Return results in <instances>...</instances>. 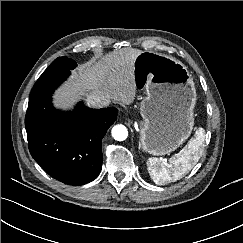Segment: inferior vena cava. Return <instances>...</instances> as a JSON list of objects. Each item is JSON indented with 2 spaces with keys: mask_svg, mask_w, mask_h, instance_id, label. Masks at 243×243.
<instances>
[{
  "mask_svg": "<svg viewBox=\"0 0 243 243\" xmlns=\"http://www.w3.org/2000/svg\"><path fill=\"white\" fill-rule=\"evenodd\" d=\"M86 101L94 108H103L110 104V97L103 91L95 90L87 96Z\"/></svg>",
  "mask_w": 243,
  "mask_h": 243,
  "instance_id": "inferior-vena-cava-1",
  "label": "inferior vena cava"
}]
</instances>
